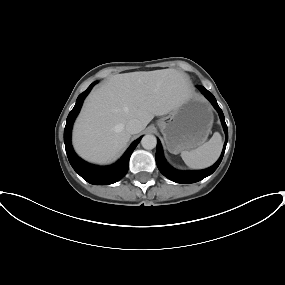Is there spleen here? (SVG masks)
Segmentation results:
<instances>
[{
	"instance_id": "spleen-1",
	"label": "spleen",
	"mask_w": 285,
	"mask_h": 285,
	"mask_svg": "<svg viewBox=\"0 0 285 285\" xmlns=\"http://www.w3.org/2000/svg\"><path fill=\"white\" fill-rule=\"evenodd\" d=\"M222 150V138L215 132L211 139L191 151H182L181 158L193 169H204L211 166L219 158Z\"/></svg>"
}]
</instances>
